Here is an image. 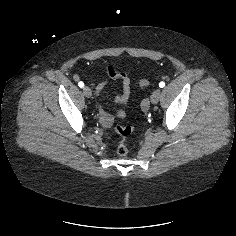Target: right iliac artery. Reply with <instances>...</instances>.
I'll return each mask as SVG.
<instances>
[{"label": "right iliac artery", "instance_id": "82829eb1", "mask_svg": "<svg viewBox=\"0 0 236 236\" xmlns=\"http://www.w3.org/2000/svg\"><path fill=\"white\" fill-rule=\"evenodd\" d=\"M78 86H79L80 88H82V87H84V83H83L82 81H80V82L78 83Z\"/></svg>", "mask_w": 236, "mask_h": 236}]
</instances>
